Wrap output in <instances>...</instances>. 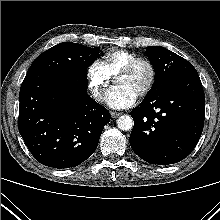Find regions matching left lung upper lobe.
<instances>
[{
    "label": "left lung upper lobe",
    "mask_w": 220,
    "mask_h": 220,
    "mask_svg": "<svg viewBox=\"0 0 220 220\" xmlns=\"http://www.w3.org/2000/svg\"><path fill=\"white\" fill-rule=\"evenodd\" d=\"M146 54L155 71V81L147 96L161 91L179 76L197 72L190 62L164 47L149 46Z\"/></svg>",
    "instance_id": "left-lung-upper-lobe-1"
}]
</instances>
